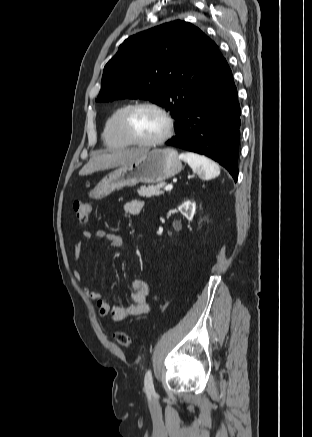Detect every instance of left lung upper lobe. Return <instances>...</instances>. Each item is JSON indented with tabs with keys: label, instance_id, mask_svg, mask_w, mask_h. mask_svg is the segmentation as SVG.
<instances>
[{
	"label": "left lung upper lobe",
	"instance_id": "obj_1",
	"mask_svg": "<svg viewBox=\"0 0 312 437\" xmlns=\"http://www.w3.org/2000/svg\"><path fill=\"white\" fill-rule=\"evenodd\" d=\"M224 58L191 23L176 20L130 36L104 67L97 102L147 99L179 123Z\"/></svg>",
	"mask_w": 312,
	"mask_h": 437
}]
</instances>
